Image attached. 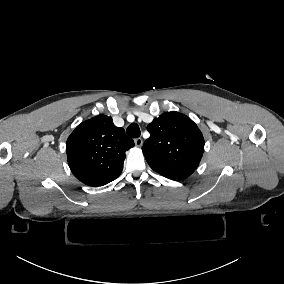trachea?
Returning <instances> with one entry per match:
<instances>
[{
  "label": "trachea",
  "mask_w": 284,
  "mask_h": 284,
  "mask_svg": "<svg viewBox=\"0 0 284 284\" xmlns=\"http://www.w3.org/2000/svg\"><path fill=\"white\" fill-rule=\"evenodd\" d=\"M126 133L132 138H138L141 134L139 125L137 123H132L128 126Z\"/></svg>",
  "instance_id": "trachea-1"
}]
</instances>
